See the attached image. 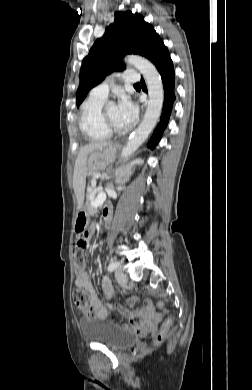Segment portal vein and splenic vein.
Here are the masks:
<instances>
[{
    "mask_svg": "<svg viewBox=\"0 0 252 390\" xmlns=\"http://www.w3.org/2000/svg\"><path fill=\"white\" fill-rule=\"evenodd\" d=\"M96 192H99L97 198L95 201L92 202V206L93 207H98L99 205H101L106 197L105 193L103 192V188L102 187H98L96 188L95 190Z\"/></svg>",
    "mask_w": 252,
    "mask_h": 390,
    "instance_id": "1",
    "label": "portal vein and splenic vein"
}]
</instances>
